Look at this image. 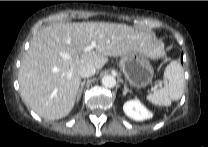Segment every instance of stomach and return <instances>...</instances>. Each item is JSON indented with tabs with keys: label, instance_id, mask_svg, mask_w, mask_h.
Listing matches in <instances>:
<instances>
[{
	"label": "stomach",
	"instance_id": "stomach-1",
	"mask_svg": "<svg viewBox=\"0 0 208 147\" xmlns=\"http://www.w3.org/2000/svg\"><path fill=\"white\" fill-rule=\"evenodd\" d=\"M119 68L125 75L130 86L134 88L146 87L153 78V67L147 57L140 52H131L122 56Z\"/></svg>",
	"mask_w": 208,
	"mask_h": 147
}]
</instances>
